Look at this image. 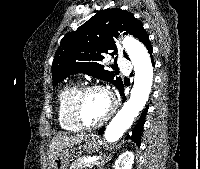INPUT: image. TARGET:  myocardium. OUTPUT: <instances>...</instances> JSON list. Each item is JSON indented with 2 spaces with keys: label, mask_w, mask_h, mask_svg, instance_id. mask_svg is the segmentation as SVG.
Segmentation results:
<instances>
[{
  "label": "myocardium",
  "mask_w": 200,
  "mask_h": 169,
  "mask_svg": "<svg viewBox=\"0 0 200 169\" xmlns=\"http://www.w3.org/2000/svg\"><path fill=\"white\" fill-rule=\"evenodd\" d=\"M93 91H100L106 94L110 102V107L107 114L100 121H98L95 124L88 125V124H85L82 120L81 105L85 96L88 93L93 92ZM116 107L117 105H116L115 97L109 89H107L106 87L102 85H88L81 88L76 94V96L74 97L73 102H72V108H71L72 117L76 125L79 127V129L91 131L103 126L113 116V114L116 111Z\"/></svg>",
  "instance_id": "obj_1"
}]
</instances>
